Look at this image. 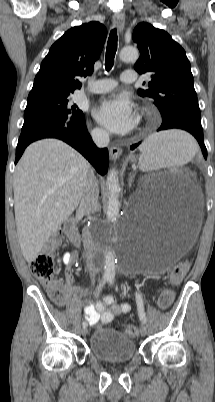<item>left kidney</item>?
Wrapping results in <instances>:
<instances>
[{
  "label": "left kidney",
  "mask_w": 215,
  "mask_h": 402,
  "mask_svg": "<svg viewBox=\"0 0 215 402\" xmlns=\"http://www.w3.org/2000/svg\"><path fill=\"white\" fill-rule=\"evenodd\" d=\"M187 175H190V172H187Z\"/></svg>",
  "instance_id": "5707ae66"
}]
</instances>
